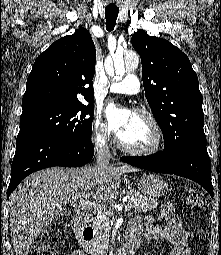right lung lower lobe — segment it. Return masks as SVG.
Masks as SVG:
<instances>
[{"mask_svg":"<svg viewBox=\"0 0 221 255\" xmlns=\"http://www.w3.org/2000/svg\"><path fill=\"white\" fill-rule=\"evenodd\" d=\"M94 155L90 141H72L35 131H20L11 166L8 197L29 174L53 166L80 167Z\"/></svg>","mask_w":221,"mask_h":255,"instance_id":"obj_1","label":"right lung lower lobe"}]
</instances>
